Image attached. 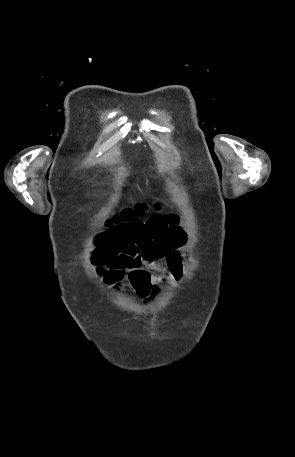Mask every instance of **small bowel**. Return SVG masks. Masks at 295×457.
Here are the masks:
<instances>
[{
    "instance_id": "small-bowel-1",
    "label": "small bowel",
    "mask_w": 295,
    "mask_h": 457,
    "mask_svg": "<svg viewBox=\"0 0 295 457\" xmlns=\"http://www.w3.org/2000/svg\"><path fill=\"white\" fill-rule=\"evenodd\" d=\"M185 243L186 235L177 215L154 214L145 221L113 226L99 233L94 240L93 260L100 265L107 255L135 246L140 250V264L127 271L125 280L137 292L147 295L153 286L183 276L181 248Z\"/></svg>"
}]
</instances>
